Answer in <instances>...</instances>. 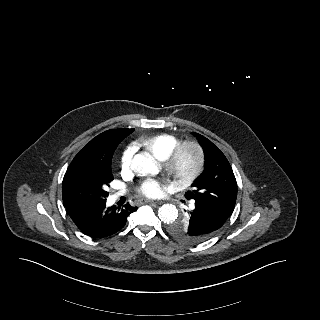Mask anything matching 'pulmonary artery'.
Instances as JSON below:
<instances>
[{"mask_svg":"<svg viewBox=\"0 0 320 320\" xmlns=\"http://www.w3.org/2000/svg\"><path fill=\"white\" fill-rule=\"evenodd\" d=\"M120 195H122L121 192L117 193V194L115 195V197H118V196H120Z\"/></svg>","mask_w":320,"mask_h":320,"instance_id":"1","label":"pulmonary artery"}]
</instances>
